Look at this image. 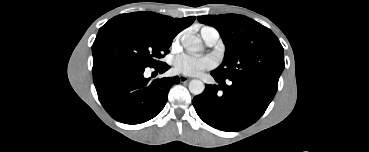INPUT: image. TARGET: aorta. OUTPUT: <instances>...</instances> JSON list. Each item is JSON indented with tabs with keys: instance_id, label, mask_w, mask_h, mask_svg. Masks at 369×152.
<instances>
[{
	"instance_id": "762f6f07",
	"label": "aorta",
	"mask_w": 369,
	"mask_h": 152,
	"mask_svg": "<svg viewBox=\"0 0 369 152\" xmlns=\"http://www.w3.org/2000/svg\"><path fill=\"white\" fill-rule=\"evenodd\" d=\"M183 47L189 52H200L203 50L202 41L194 35L186 34L181 38ZM205 89L202 81L193 79L189 82V91L193 95H200Z\"/></svg>"
}]
</instances>
